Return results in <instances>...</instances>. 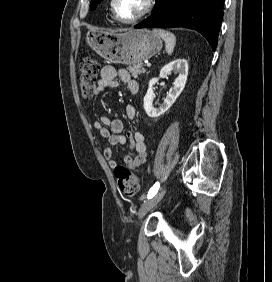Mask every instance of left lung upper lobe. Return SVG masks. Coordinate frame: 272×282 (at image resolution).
<instances>
[{"label":"left lung upper lobe","mask_w":272,"mask_h":282,"mask_svg":"<svg viewBox=\"0 0 272 282\" xmlns=\"http://www.w3.org/2000/svg\"><path fill=\"white\" fill-rule=\"evenodd\" d=\"M102 0H91V3H90V8L92 10H94L96 8V6L98 5L99 2H101Z\"/></svg>","instance_id":"1"}]
</instances>
